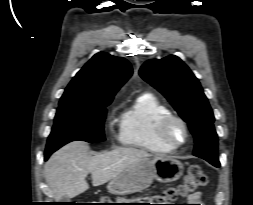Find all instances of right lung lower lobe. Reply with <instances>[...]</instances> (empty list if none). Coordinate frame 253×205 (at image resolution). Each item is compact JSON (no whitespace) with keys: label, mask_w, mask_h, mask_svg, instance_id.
Here are the masks:
<instances>
[{"label":"right lung lower lobe","mask_w":253,"mask_h":205,"mask_svg":"<svg viewBox=\"0 0 253 205\" xmlns=\"http://www.w3.org/2000/svg\"><path fill=\"white\" fill-rule=\"evenodd\" d=\"M53 152L54 151H45V160H47Z\"/></svg>","instance_id":"1"}]
</instances>
